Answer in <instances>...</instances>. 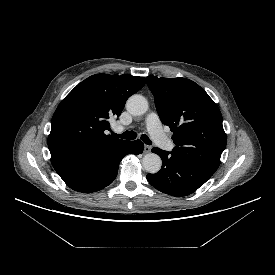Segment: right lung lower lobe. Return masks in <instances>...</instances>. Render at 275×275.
<instances>
[{"label": "right lung lower lobe", "mask_w": 275, "mask_h": 275, "mask_svg": "<svg viewBox=\"0 0 275 275\" xmlns=\"http://www.w3.org/2000/svg\"><path fill=\"white\" fill-rule=\"evenodd\" d=\"M144 144L140 140L126 143L112 155L96 163L60 175L73 190L82 193L99 191L110 185L117 176L118 166L127 154H141Z\"/></svg>", "instance_id": "obj_1"}]
</instances>
